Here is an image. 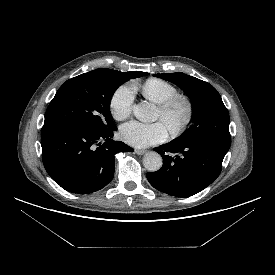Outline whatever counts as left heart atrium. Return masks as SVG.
Returning <instances> with one entry per match:
<instances>
[{
  "label": "left heart atrium",
  "instance_id": "left-heart-atrium-1",
  "mask_svg": "<svg viewBox=\"0 0 275 275\" xmlns=\"http://www.w3.org/2000/svg\"><path fill=\"white\" fill-rule=\"evenodd\" d=\"M120 136L127 144L144 148L165 141L168 138V128L162 121L155 123L130 121L120 128Z\"/></svg>",
  "mask_w": 275,
  "mask_h": 275
}]
</instances>
